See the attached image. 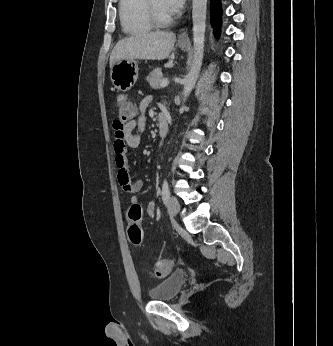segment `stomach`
Masks as SVG:
<instances>
[{"mask_svg": "<svg viewBox=\"0 0 333 346\" xmlns=\"http://www.w3.org/2000/svg\"><path fill=\"white\" fill-rule=\"evenodd\" d=\"M181 49H186L185 43H178ZM110 79L114 87L126 92L134 86L138 79V64L135 60L122 59L111 66Z\"/></svg>", "mask_w": 333, "mask_h": 346, "instance_id": "0dacf381", "label": "stomach"}]
</instances>
